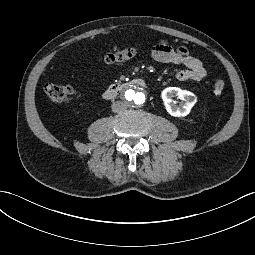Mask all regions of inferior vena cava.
<instances>
[{"label": "inferior vena cava", "instance_id": "1", "mask_svg": "<svg viewBox=\"0 0 255 255\" xmlns=\"http://www.w3.org/2000/svg\"><path fill=\"white\" fill-rule=\"evenodd\" d=\"M127 108H128V104L127 102H124V101H116L112 105V111L114 113L122 112L126 110Z\"/></svg>", "mask_w": 255, "mask_h": 255}]
</instances>
